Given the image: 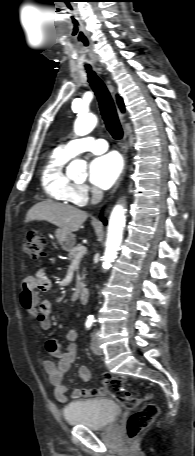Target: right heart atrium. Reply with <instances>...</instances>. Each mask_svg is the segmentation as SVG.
<instances>
[{"mask_svg":"<svg viewBox=\"0 0 195 456\" xmlns=\"http://www.w3.org/2000/svg\"><path fill=\"white\" fill-rule=\"evenodd\" d=\"M97 191L93 190L86 184H74L71 190L72 202L77 205H85L88 200L97 195Z\"/></svg>","mask_w":195,"mask_h":456,"instance_id":"d8ad5b80","label":"right heart atrium"}]
</instances>
